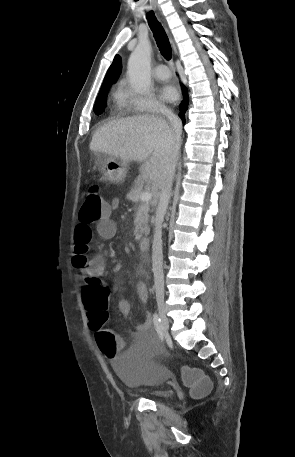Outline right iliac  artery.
Listing matches in <instances>:
<instances>
[{"instance_id":"right-iliac-artery-1","label":"right iliac artery","mask_w":295,"mask_h":457,"mask_svg":"<svg viewBox=\"0 0 295 457\" xmlns=\"http://www.w3.org/2000/svg\"><path fill=\"white\" fill-rule=\"evenodd\" d=\"M153 323H154L155 329H156L160 339L163 340L164 339V334H163V329L164 328H163V325L161 323V319H160V317L158 316L157 313H155L153 315Z\"/></svg>"}]
</instances>
